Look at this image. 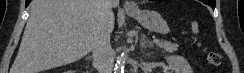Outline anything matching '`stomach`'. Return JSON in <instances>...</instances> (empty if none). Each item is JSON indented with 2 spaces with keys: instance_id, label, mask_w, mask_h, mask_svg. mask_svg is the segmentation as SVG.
I'll return each instance as SVG.
<instances>
[{
  "instance_id": "1",
  "label": "stomach",
  "mask_w": 244,
  "mask_h": 73,
  "mask_svg": "<svg viewBox=\"0 0 244 73\" xmlns=\"http://www.w3.org/2000/svg\"><path fill=\"white\" fill-rule=\"evenodd\" d=\"M127 13L134 17L148 31L159 34H167L170 32L167 21L156 11L133 10L127 11Z\"/></svg>"
}]
</instances>
